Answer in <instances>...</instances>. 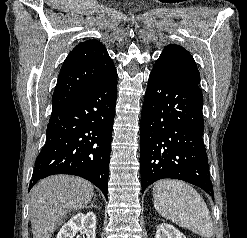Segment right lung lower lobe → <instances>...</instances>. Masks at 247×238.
<instances>
[{
	"mask_svg": "<svg viewBox=\"0 0 247 238\" xmlns=\"http://www.w3.org/2000/svg\"><path fill=\"white\" fill-rule=\"evenodd\" d=\"M116 98L114 71L86 93L52 111L29 190L47 176L71 174L89 180L107 198Z\"/></svg>",
	"mask_w": 247,
	"mask_h": 238,
	"instance_id": "obj_1",
	"label": "right lung lower lobe"
}]
</instances>
